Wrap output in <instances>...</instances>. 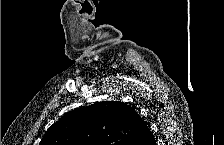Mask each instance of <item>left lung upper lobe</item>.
<instances>
[{"mask_svg": "<svg viewBox=\"0 0 224 145\" xmlns=\"http://www.w3.org/2000/svg\"><path fill=\"white\" fill-rule=\"evenodd\" d=\"M143 124L131 105L97 102L62 116L39 145H132Z\"/></svg>", "mask_w": 224, "mask_h": 145, "instance_id": "1", "label": "left lung upper lobe"}]
</instances>
